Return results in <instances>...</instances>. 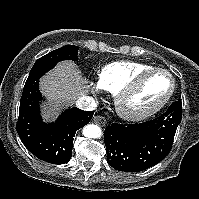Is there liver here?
Returning <instances> with one entry per match:
<instances>
[{"instance_id":"liver-1","label":"liver","mask_w":199,"mask_h":199,"mask_svg":"<svg viewBox=\"0 0 199 199\" xmlns=\"http://www.w3.org/2000/svg\"><path fill=\"white\" fill-rule=\"evenodd\" d=\"M87 83L74 63H59L40 81V90L48 100L44 106L43 118L54 119L61 109L72 106L76 99L85 96L88 92Z\"/></svg>"}]
</instances>
